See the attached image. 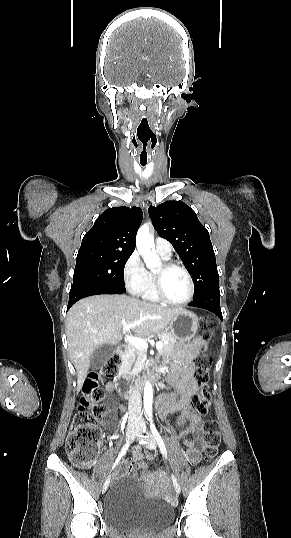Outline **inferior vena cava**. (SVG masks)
<instances>
[{
  "label": "inferior vena cava",
  "instance_id": "obj_1",
  "mask_svg": "<svg viewBox=\"0 0 291 538\" xmlns=\"http://www.w3.org/2000/svg\"><path fill=\"white\" fill-rule=\"evenodd\" d=\"M141 394L138 389H135L129 398L128 403V412H129V421L133 423H139L141 418Z\"/></svg>",
  "mask_w": 291,
  "mask_h": 538
}]
</instances>
